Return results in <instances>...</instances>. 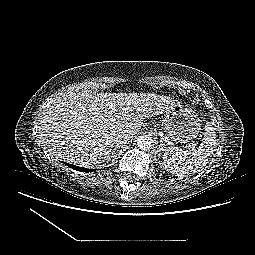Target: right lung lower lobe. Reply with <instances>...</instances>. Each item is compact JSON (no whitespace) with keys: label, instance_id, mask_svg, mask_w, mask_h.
Wrapping results in <instances>:
<instances>
[{"label":"right lung lower lobe","instance_id":"obj_1","mask_svg":"<svg viewBox=\"0 0 255 255\" xmlns=\"http://www.w3.org/2000/svg\"><path fill=\"white\" fill-rule=\"evenodd\" d=\"M66 165L69 166L70 168L74 169V170H77V171H82V172L94 171L93 169H87V168L71 165V164H68V163Z\"/></svg>","mask_w":255,"mask_h":255}]
</instances>
